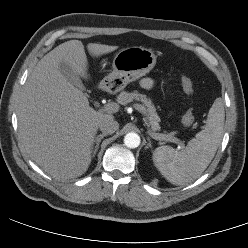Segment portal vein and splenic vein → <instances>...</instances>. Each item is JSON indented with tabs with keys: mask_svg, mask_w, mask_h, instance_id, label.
Here are the masks:
<instances>
[{
	"mask_svg": "<svg viewBox=\"0 0 248 248\" xmlns=\"http://www.w3.org/2000/svg\"><path fill=\"white\" fill-rule=\"evenodd\" d=\"M133 107L139 111L140 113H144L145 112V109L144 107L141 105V104H134ZM104 110L107 111V112H110V113H115V112H118L119 110V105L117 103H114V102H111V103H107L104 107ZM153 139H156V140H160V137L157 136V135H150ZM167 141H170V142H173V143H176V144H179V147H181V143L179 141V139L175 138V137H169L167 139Z\"/></svg>",
	"mask_w": 248,
	"mask_h": 248,
	"instance_id": "obj_1",
	"label": "portal vein and splenic vein"
}]
</instances>
